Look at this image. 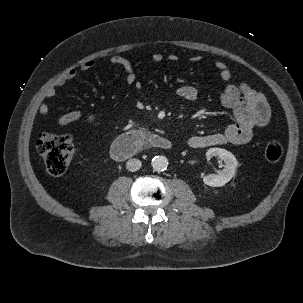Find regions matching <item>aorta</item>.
Returning a JSON list of instances; mask_svg holds the SVG:
<instances>
[{
	"mask_svg": "<svg viewBox=\"0 0 303 303\" xmlns=\"http://www.w3.org/2000/svg\"><path fill=\"white\" fill-rule=\"evenodd\" d=\"M151 165L155 171H164L167 169L168 160L165 156H155L152 159Z\"/></svg>",
	"mask_w": 303,
	"mask_h": 303,
	"instance_id": "aorta-1",
	"label": "aorta"
}]
</instances>
